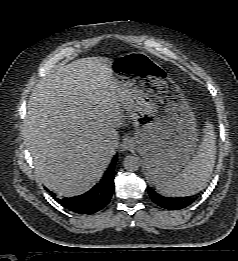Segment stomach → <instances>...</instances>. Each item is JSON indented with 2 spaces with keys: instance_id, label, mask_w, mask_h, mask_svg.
Returning a JSON list of instances; mask_svg holds the SVG:
<instances>
[{
  "instance_id": "1",
  "label": "stomach",
  "mask_w": 238,
  "mask_h": 261,
  "mask_svg": "<svg viewBox=\"0 0 238 261\" xmlns=\"http://www.w3.org/2000/svg\"><path fill=\"white\" fill-rule=\"evenodd\" d=\"M120 102L135 126V147L147 172L161 184L191 160L198 143L192 108L169 74L143 54L111 65Z\"/></svg>"
}]
</instances>
